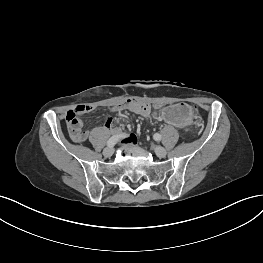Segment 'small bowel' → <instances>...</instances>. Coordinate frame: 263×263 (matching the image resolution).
I'll return each instance as SVG.
<instances>
[{"label":"small bowel","mask_w":263,"mask_h":263,"mask_svg":"<svg viewBox=\"0 0 263 263\" xmlns=\"http://www.w3.org/2000/svg\"><path fill=\"white\" fill-rule=\"evenodd\" d=\"M94 109H95V107L92 105H81V106H78L74 112H76L78 115H81V114L92 112ZM122 109H128L132 113H135V114L140 115L142 117H149L151 115H154L155 118L159 119L158 118V111L159 110L153 112L150 106L142 104L139 101H136L134 99L127 100L122 105L114 106L112 108V111L113 112H119ZM111 122H112V119L110 117H107L106 121H105V128L106 129H108V130L112 129L111 128ZM126 141L134 143V142H136V137L134 135H132Z\"/></svg>","instance_id":"obj_1"}]
</instances>
